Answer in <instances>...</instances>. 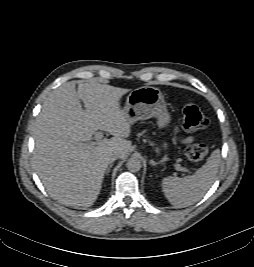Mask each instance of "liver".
<instances>
[{
    "instance_id": "liver-1",
    "label": "liver",
    "mask_w": 254,
    "mask_h": 267,
    "mask_svg": "<svg viewBox=\"0 0 254 267\" xmlns=\"http://www.w3.org/2000/svg\"><path fill=\"white\" fill-rule=\"evenodd\" d=\"M127 92L95 81L76 89L71 81L48 95L34 123L32 159L53 199L73 208L90 207L97 200L111 154L124 159L131 148V123L120 106ZM97 130L113 137L93 142Z\"/></svg>"
}]
</instances>
